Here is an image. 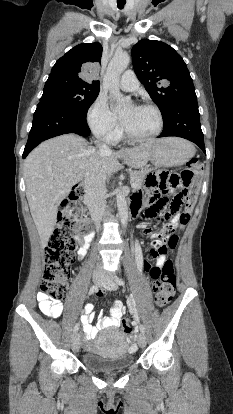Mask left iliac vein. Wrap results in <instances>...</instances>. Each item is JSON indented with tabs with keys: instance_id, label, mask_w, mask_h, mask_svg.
Listing matches in <instances>:
<instances>
[{
	"instance_id": "4c4485c4",
	"label": "left iliac vein",
	"mask_w": 233,
	"mask_h": 414,
	"mask_svg": "<svg viewBox=\"0 0 233 414\" xmlns=\"http://www.w3.org/2000/svg\"><path fill=\"white\" fill-rule=\"evenodd\" d=\"M101 285L107 290H116L118 285L114 277L105 275L101 281ZM138 344L141 348H144L146 345V336L143 332L138 335Z\"/></svg>"
}]
</instances>
